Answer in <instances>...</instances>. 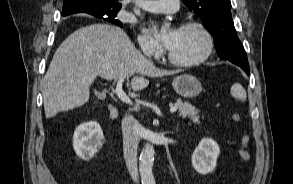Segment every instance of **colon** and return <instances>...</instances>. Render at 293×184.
I'll list each match as a JSON object with an SVG mask.
<instances>
[{"instance_id":"obj_1","label":"colon","mask_w":293,"mask_h":184,"mask_svg":"<svg viewBox=\"0 0 293 184\" xmlns=\"http://www.w3.org/2000/svg\"><path fill=\"white\" fill-rule=\"evenodd\" d=\"M232 119L235 122H239L241 120V116L238 113H234L232 115ZM248 142H249V137L247 135H244L241 139V146L239 149V156L244 161H249L251 159V155L247 149Z\"/></svg>"}]
</instances>
